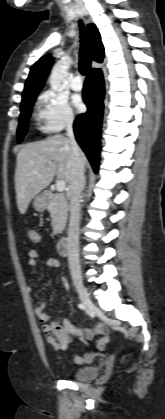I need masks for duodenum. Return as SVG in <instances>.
Returning <instances> with one entry per match:
<instances>
[{
	"label": "duodenum",
	"mask_w": 165,
	"mask_h": 419,
	"mask_svg": "<svg viewBox=\"0 0 165 419\" xmlns=\"http://www.w3.org/2000/svg\"><path fill=\"white\" fill-rule=\"evenodd\" d=\"M58 253L61 256H67L68 254V239L67 236H62L57 243Z\"/></svg>",
	"instance_id": "duodenum-1"
}]
</instances>
